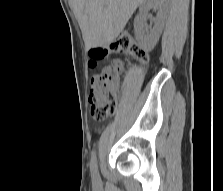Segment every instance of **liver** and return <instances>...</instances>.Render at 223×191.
<instances>
[{
  "instance_id": "6515ba94",
  "label": "liver",
  "mask_w": 223,
  "mask_h": 191,
  "mask_svg": "<svg viewBox=\"0 0 223 191\" xmlns=\"http://www.w3.org/2000/svg\"><path fill=\"white\" fill-rule=\"evenodd\" d=\"M144 0H71L87 49L104 47L123 31Z\"/></svg>"
}]
</instances>
